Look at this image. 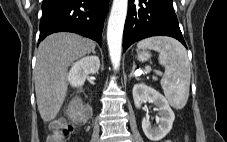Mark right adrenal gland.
<instances>
[{
	"instance_id": "2a0ac1e0",
	"label": "right adrenal gland",
	"mask_w": 227,
	"mask_h": 142,
	"mask_svg": "<svg viewBox=\"0 0 227 142\" xmlns=\"http://www.w3.org/2000/svg\"><path fill=\"white\" fill-rule=\"evenodd\" d=\"M93 54H96L95 50L92 51Z\"/></svg>"
}]
</instances>
